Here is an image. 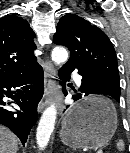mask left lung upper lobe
I'll use <instances>...</instances> for the list:
<instances>
[{
  "label": "left lung upper lobe",
  "mask_w": 130,
  "mask_h": 153,
  "mask_svg": "<svg viewBox=\"0 0 130 153\" xmlns=\"http://www.w3.org/2000/svg\"><path fill=\"white\" fill-rule=\"evenodd\" d=\"M53 41L66 46L71 56L65 65L90 70L113 95L120 97L116 53L107 35L76 14H66L58 22Z\"/></svg>",
  "instance_id": "1"
}]
</instances>
